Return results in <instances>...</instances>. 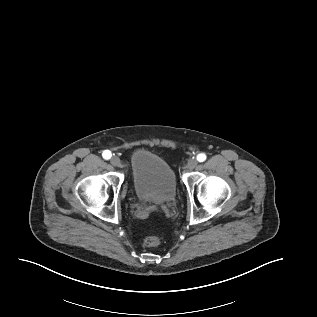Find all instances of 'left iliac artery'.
<instances>
[{
  "mask_svg": "<svg viewBox=\"0 0 317 317\" xmlns=\"http://www.w3.org/2000/svg\"><path fill=\"white\" fill-rule=\"evenodd\" d=\"M197 160H198L199 162L205 161V160H206V155L203 154V153L198 154V155H197Z\"/></svg>",
  "mask_w": 317,
  "mask_h": 317,
  "instance_id": "44dca946",
  "label": "left iliac artery"
}]
</instances>
